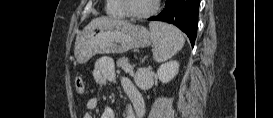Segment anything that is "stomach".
I'll list each match as a JSON object with an SVG mask.
<instances>
[{
	"mask_svg": "<svg viewBox=\"0 0 273 118\" xmlns=\"http://www.w3.org/2000/svg\"><path fill=\"white\" fill-rule=\"evenodd\" d=\"M151 40V34L145 27L115 21L80 33L75 42L74 59L83 64L96 54L124 53L147 47Z\"/></svg>",
	"mask_w": 273,
	"mask_h": 118,
	"instance_id": "stomach-1",
	"label": "stomach"
}]
</instances>
